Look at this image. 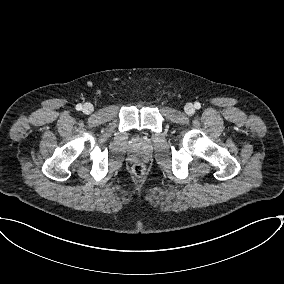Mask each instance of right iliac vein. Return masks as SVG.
Returning <instances> with one entry per match:
<instances>
[{
  "mask_svg": "<svg viewBox=\"0 0 284 284\" xmlns=\"http://www.w3.org/2000/svg\"><path fill=\"white\" fill-rule=\"evenodd\" d=\"M94 110V107L91 103H86L83 107V112L86 114H90L92 113Z\"/></svg>",
  "mask_w": 284,
  "mask_h": 284,
  "instance_id": "1",
  "label": "right iliac vein"
}]
</instances>
